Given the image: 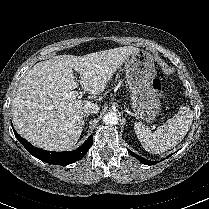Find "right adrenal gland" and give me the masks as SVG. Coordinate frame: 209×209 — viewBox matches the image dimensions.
<instances>
[{
  "mask_svg": "<svg viewBox=\"0 0 209 209\" xmlns=\"http://www.w3.org/2000/svg\"><path fill=\"white\" fill-rule=\"evenodd\" d=\"M88 117V114L83 115V123L86 121V118Z\"/></svg>",
  "mask_w": 209,
  "mask_h": 209,
  "instance_id": "2a0ac1e0",
  "label": "right adrenal gland"
}]
</instances>
